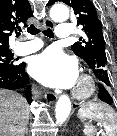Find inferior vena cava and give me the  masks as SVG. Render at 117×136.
<instances>
[{"mask_svg": "<svg viewBox=\"0 0 117 136\" xmlns=\"http://www.w3.org/2000/svg\"><path fill=\"white\" fill-rule=\"evenodd\" d=\"M33 93H34V97H35V98H37V97H38V95H39V92L34 91Z\"/></svg>", "mask_w": 117, "mask_h": 136, "instance_id": "inferior-vena-cava-1", "label": "inferior vena cava"}]
</instances>
